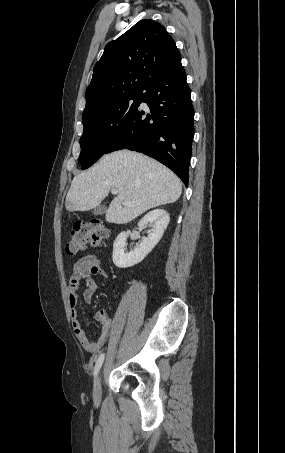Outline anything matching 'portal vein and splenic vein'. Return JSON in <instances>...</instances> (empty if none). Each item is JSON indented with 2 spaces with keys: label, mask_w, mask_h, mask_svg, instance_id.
<instances>
[{
  "label": "portal vein and splenic vein",
  "mask_w": 285,
  "mask_h": 453,
  "mask_svg": "<svg viewBox=\"0 0 285 453\" xmlns=\"http://www.w3.org/2000/svg\"><path fill=\"white\" fill-rule=\"evenodd\" d=\"M111 192H112V194H114V195L118 194V190H117V189H112Z\"/></svg>",
  "instance_id": "18ae733b"
}]
</instances>
